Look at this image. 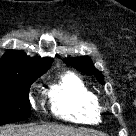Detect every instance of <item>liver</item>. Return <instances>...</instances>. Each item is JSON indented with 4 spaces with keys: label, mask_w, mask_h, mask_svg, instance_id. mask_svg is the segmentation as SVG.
I'll return each instance as SVG.
<instances>
[{
    "label": "liver",
    "mask_w": 136,
    "mask_h": 136,
    "mask_svg": "<svg viewBox=\"0 0 136 136\" xmlns=\"http://www.w3.org/2000/svg\"><path fill=\"white\" fill-rule=\"evenodd\" d=\"M0 136H95L90 131L79 130L62 125H41L0 128Z\"/></svg>",
    "instance_id": "obj_1"
}]
</instances>
